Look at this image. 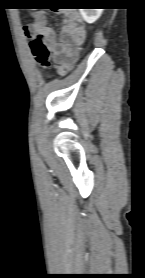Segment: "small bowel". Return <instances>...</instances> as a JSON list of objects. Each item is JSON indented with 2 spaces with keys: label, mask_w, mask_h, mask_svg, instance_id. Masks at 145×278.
Listing matches in <instances>:
<instances>
[{
  "label": "small bowel",
  "mask_w": 145,
  "mask_h": 278,
  "mask_svg": "<svg viewBox=\"0 0 145 278\" xmlns=\"http://www.w3.org/2000/svg\"><path fill=\"white\" fill-rule=\"evenodd\" d=\"M23 31L27 36L31 34L43 35L44 41L52 53L53 67L59 73H62L64 68L77 57L78 48L86 37L82 21L76 13L65 15L59 33H56L53 28L46 24L44 13L35 15L33 22L25 26Z\"/></svg>",
  "instance_id": "c3829d8e"
}]
</instances>
